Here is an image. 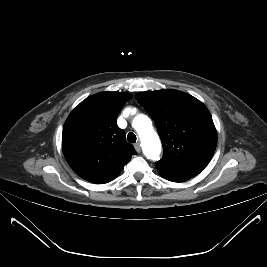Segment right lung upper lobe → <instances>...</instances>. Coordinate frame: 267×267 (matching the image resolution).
<instances>
[{
  "label": "right lung upper lobe",
  "instance_id": "1",
  "mask_svg": "<svg viewBox=\"0 0 267 267\" xmlns=\"http://www.w3.org/2000/svg\"><path fill=\"white\" fill-rule=\"evenodd\" d=\"M129 93L101 92L83 100L68 116L62 149L70 167L83 179L101 184L115 179L131 156L133 145L116 120Z\"/></svg>",
  "mask_w": 267,
  "mask_h": 267
}]
</instances>
